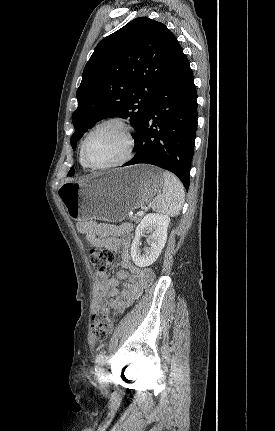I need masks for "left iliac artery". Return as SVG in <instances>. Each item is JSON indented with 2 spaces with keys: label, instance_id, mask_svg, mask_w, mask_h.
<instances>
[{
  "label": "left iliac artery",
  "instance_id": "44dca946",
  "mask_svg": "<svg viewBox=\"0 0 275 431\" xmlns=\"http://www.w3.org/2000/svg\"><path fill=\"white\" fill-rule=\"evenodd\" d=\"M104 362H105V355H104V353H99L97 355V357H96V360H95V363H96V366H95L96 375L101 376L103 374V371H104V369H103Z\"/></svg>",
  "mask_w": 275,
  "mask_h": 431
}]
</instances>
